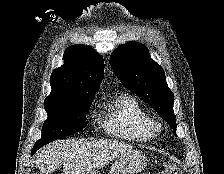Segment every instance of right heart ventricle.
<instances>
[{
  "label": "right heart ventricle",
  "instance_id": "obj_1",
  "mask_svg": "<svg viewBox=\"0 0 224 174\" xmlns=\"http://www.w3.org/2000/svg\"><path fill=\"white\" fill-rule=\"evenodd\" d=\"M102 114V127L112 137L147 142L155 136L151 117L133 96H116L103 106Z\"/></svg>",
  "mask_w": 224,
  "mask_h": 174
}]
</instances>
